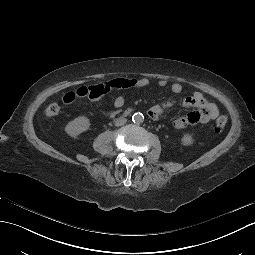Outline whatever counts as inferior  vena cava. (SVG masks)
Returning <instances> with one entry per match:
<instances>
[{
  "label": "inferior vena cava",
  "mask_w": 255,
  "mask_h": 255,
  "mask_svg": "<svg viewBox=\"0 0 255 255\" xmlns=\"http://www.w3.org/2000/svg\"><path fill=\"white\" fill-rule=\"evenodd\" d=\"M127 122L126 118H117L115 119V126H123Z\"/></svg>",
  "instance_id": "inferior-vena-cava-1"
}]
</instances>
